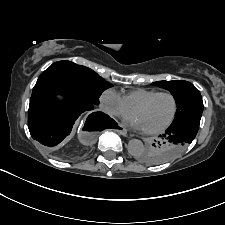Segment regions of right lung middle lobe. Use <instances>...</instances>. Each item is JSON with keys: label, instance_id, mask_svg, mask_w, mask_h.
Masks as SVG:
<instances>
[{"label": "right lung middle lobe", "instance_id": "dd1d6c3e", "mask_svg": "<svg viewBox=\"0 0 225 225\" xmlns=\"http://www.w3.org/2000/svg\"><path fill=\"white\" fill-rule=\"evenodd\" d=\"M43 74H57L71 80L95 104L99 103L102 92L112 86L93 70L70 61L55 62Z\"/></svg>", "mask_w": 225, "mask_h": 225}]
</instances>
